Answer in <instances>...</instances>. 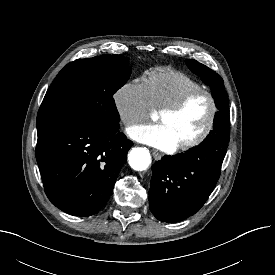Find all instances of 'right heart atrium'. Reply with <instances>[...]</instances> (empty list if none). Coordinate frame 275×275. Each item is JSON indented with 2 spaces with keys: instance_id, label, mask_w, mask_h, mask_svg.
I'll use <instances>...</instances> for the list:
<instances>
[{
  "instance_id": "obj_1",
  "label": "right heart atrium",
  "mask_w": 275,
  "mask_h": 275,
  "mask_svg": "<svg viewBox=\"0 0 275 275\" xmlns=\"http://www.w3.org/2000/svg\"><path fill=\"white\" fill-rule=\"evenodd\" d=\"M114 105L125 126L146 120L153 111L144 83L136 80L126 82L116 90Z\"/></svg>"
}]
</instances>
